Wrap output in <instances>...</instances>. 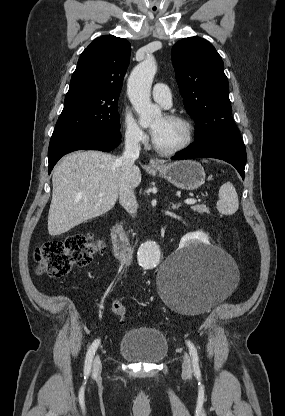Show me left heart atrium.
Segmentation results:
<instances>
[{
	"mask_svg": "<svg viewBox=\"0 0 285 416\" xmlns=\"http://www.w3.org/2000/svg\"><path fill=\"white\" fill-rule=\"evenodd\" d=\"M160 133H161V127L159 125L151 128V135L155 142L159 139Z\"/></svg>",
	"mask_w": 285,
	"mask_h": 416,
	"instance_id": "left-heart-atrium-1",
	"label": "left heart atrium"
}]
</instances>
